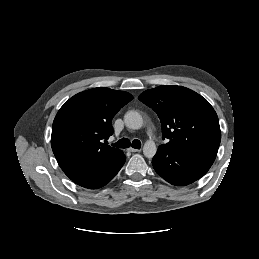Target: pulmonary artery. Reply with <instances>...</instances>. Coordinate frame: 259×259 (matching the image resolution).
<instances>
[{"label": "pulmonary artery", "mask_w": 259, "mask_h": 259, "mask_svg": "<svg viewBox=\"0 0 259 259\" xmlns=\"http://www.w3.org/2000/svg\"><path fill=\"white\" fill-rule=\"evenodd\" d=\"M147 134L149 137H153V132H152V129L150 127H148L147 129Z\"/></svg>", "instance_id": "pulmonary-artery-1"}]
</instances>
